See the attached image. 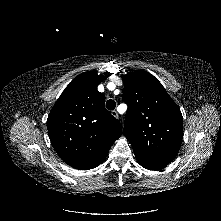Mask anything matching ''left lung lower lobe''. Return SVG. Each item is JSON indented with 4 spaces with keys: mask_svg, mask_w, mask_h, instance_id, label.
I'll return each instance as SVG.
<instances>
[{
    "mask_svg": "<svg viewBox=\"0 0 221 221\" xmlns=\"http://www.w3.org/2000/svg\"><path fill=\"white\" fill-rule=\"evenodd\" d=\"M138 163L148 169V170H161L165 167V165H159V164H153V163H148V162H144V161H141L139 159H137Z\"/></svg>",
    "mask_w": 221,
    "mask_h": 221,
    "instance_id": "left-lung-lower-lobe-1",
    "label": "left lung lower lobe"
}]
</instances>
